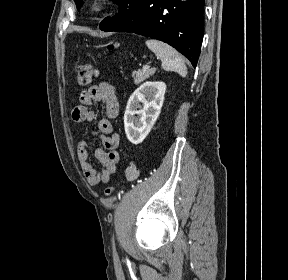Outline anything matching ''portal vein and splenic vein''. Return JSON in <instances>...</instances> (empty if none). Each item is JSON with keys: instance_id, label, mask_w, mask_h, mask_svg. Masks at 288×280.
<instances>
[{"instance_id": "18ae733b", "label": "portal vein and splenic vein", "mask_w": 288, "mask_h": 280, "mask_svg": "<svg viewBox=\"0 0 288 280\" xmlns=\"http://www.w3.org/2000/svg\"><path fill=\"white\" fill-rule=\"evenodd\" d=\"M148 67H150V64L145 65L143 68L146 69V68H148Z\"/></svg>"}]
</instances>
